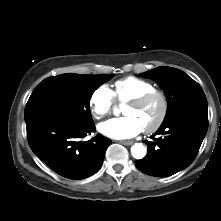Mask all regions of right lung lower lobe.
Listing matches in <instances>:
<instances>
[{"label": "right lung lower lobe", "instance_id": "obj_1", "mask_svg": "<svg viewBox=\"0 0 221 221\" xmlns=\"http://www.w3.org/2000/svg\"><path fill=\"white\" fill-rule=\"evenodd\" d=\"M26 128L32 151L57 174L73 180L98 172L112 143L102 135L82 141L95 131L94 123L78 125L57 114L34 116L26 121Z\"/></svg>", "mask_w": 221, "mask_h": 221}]
</instances>
